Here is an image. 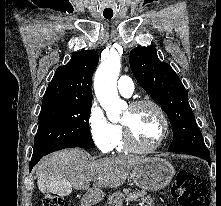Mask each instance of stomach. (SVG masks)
Masks as SVG:
<instances>
[{
    "instance_id": "0dacf381",
    "label": "stomach",
    "mask_w": 221,
    "mask_h": 206,
    "mask_svg": "<svg viewBox=\"0 0 221 206\" xmlns=\"http://www.w3.org/2000/svg\"><path fill=\"white\" fill-rule=\"evenodd\" d=\"M175 176L174 167L165 159L159 157L145 158L132 171L133 182L141 189L157 191L166 187ZM103 198L102 190H90L85 199L89 203H98Z\"/></svg>"
}]
</instances>
